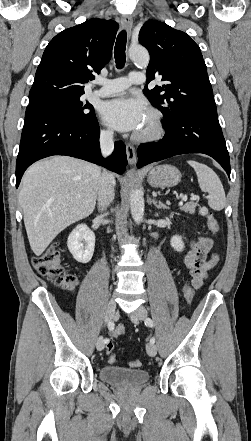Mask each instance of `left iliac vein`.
<instances>
[{"mask_svg": "<svg viewBox=\"0 0 251 441\" xmlns=\"http://www.w3.org/2000/svg\"><path fill=\"white\" fill-rule=\"evenodd\" d=\"M147 318V310L140 306L134 313L130 314V319L132 322L137 323L139 320H144ZM147 354L154 357L157 354V347L154 343H148L146 345Z\"/></svg>", "mask_w": 251, "mask_h": 441, "instance_id": "left-iliac-vein-1", "label": "left iliac vein"}]
</instances>
